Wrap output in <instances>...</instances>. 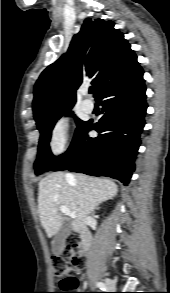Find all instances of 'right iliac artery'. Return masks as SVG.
<instances>
[{
  "label": "right iliac artery",
  "mask_w": 170,
  "mask_h": 293,
  "mask_svg": "<svg viewBox=\"0 0 170 293\" xmlns=\"http://www.w3.org/2000/svg\"><path fill=\"white\" fill-rule=\"evenodd\" d=\"M97 287H99L101 290H107L106 285L103 282H97Z\"/></svg>",
  "instance_id": "1"
}]
</instances>
